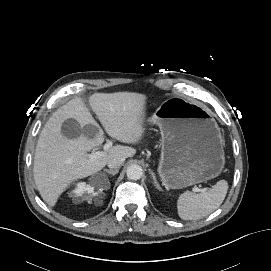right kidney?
<instances>
[{"instance_id":"right-kidney-1","label":"right kidney","mask_w":271,"mask_h":271,"mask_svg":"<svg viewBox=\"0 0 271 271\" xmlns=\"http://www.w3.org/2000/svg\"><path fill=\"white\" fill-rule=\"evenodd\" d=\"M103 191V187L96 184H86L85 182H80L76 185L73 190L74 197H82L87 196L91 198L92 196H97L99 193Z\"/></svg>"}]
</instances>
